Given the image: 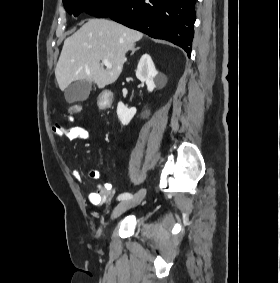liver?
Instances as JSON below:
<instances>
[{
  "label": "liver",
  "instance_id": "obj_1",
  "mask_svg": "<svg viewBox=\"0 0 280 283\" xmlns=\"http://www.w3.org/2000/svg\"><path fill=\"white\" fill-rule=\"evenodd\" d=\"M143 33L106 19H90L64 41L55 77L64 91L74 81L94 82L98 88L114 83L126 62V53ZM102 60L111 63L104 68Z\"/></svg>",
  "mask_w": 280,
  "mask_h": 283
}]
</instances>
